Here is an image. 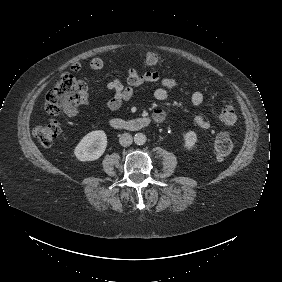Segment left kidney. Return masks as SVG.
<instances>
[{"label":"left kidney","instance_id":"1","mask_svg":"<svg viewBox=\"0 0 282 282\" xmlns=\"http://www.w3.org/2000/svg\"><path fill=\"white\" fill-rule=\"evenodd\" d=\"M184 147L188 150L192 149L197 141V135L194 131H189L184 135Z\"/></svg>","mask_w":282,"mask_h":282}]
</instances>
